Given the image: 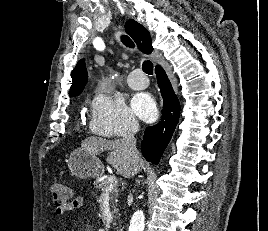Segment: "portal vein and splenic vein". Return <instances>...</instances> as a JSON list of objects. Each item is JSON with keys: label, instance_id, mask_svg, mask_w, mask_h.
<instances>
[{"label": "portal vein and splenic vein", "instance_id": "1", "mask_svg": "<svg viewBox=\"0 0 268 231\" xmlns=\"http://www.w3.org/2000/svg\"><path fill=\"white\" fill-rule=\"evenodd\" d=\"M117 178L115 176H109L107 179V188L105 191H112L114 187L117 186Z\"/></svg>", "mask_w": 268, "mask_h": 231}]
</instances>
